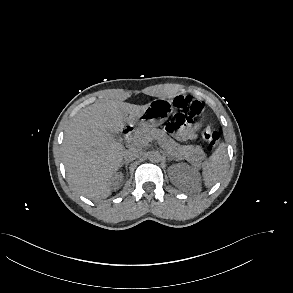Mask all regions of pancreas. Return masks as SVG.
<instances>
[{"label":"pancreas","mask_w":293,"mask_h":293,"mask_svg":"<svg viewBox=\"0 0 293 293\" xmlns=\"http://www.w3.org/2000/svg\"><path fill=\"white\" fill-rule=\"evenodd\" d=\"M137 144H146L153 139L158 140L161 147L176 160L186 159L194 166H200L206 155L200 146L180 145L160 129L142 127L135 131L133 138Z\"/></svg>","instance_id":"obj_1"}]
</instances>
